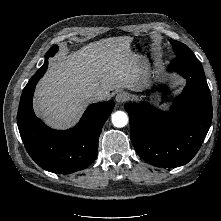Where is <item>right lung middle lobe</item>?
<instances>
[{
  "label": "right lung middle lobe",
  "mask_w": 221,
  "mask_h": 221,
  "mask_svg": "<svg viewBox=\"0 0 221 221\" xmlns=\"http://www.w3.org/2000/svg\"><path fill=\"white\" fill-rule=\"evenodd\" d=\"M57 50H58V47L55 45L46 53L44 65L48 64V61H47L48 57L53 56L57 52Z\"/></svg>",
  "instance_id": "obj_1"
}]
</instances>
